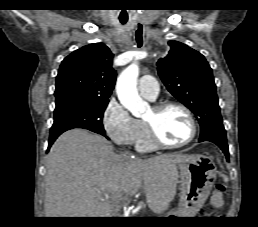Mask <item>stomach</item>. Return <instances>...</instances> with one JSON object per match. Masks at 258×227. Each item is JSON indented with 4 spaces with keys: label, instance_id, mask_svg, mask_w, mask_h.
Returning <instances> with one entry per match:
<instances>
[{
    "label": "stomach",
    "instance_id": "1",
    "mask_svg": "<svg viewBox=\"0 0 258 227\" xmlns=\"http://www.w3.org/2000/svg\"><path fill=\"white\" fill-rule=\"evenodd\" d=\"M180 199L179 209L172 216L188 217L198 212L205 202L216 181V167L213 161L204 155H187L178 163Z\"/></svg>",
    "mask_w": 258,
    "mask_h": 227
}]
</instances>
